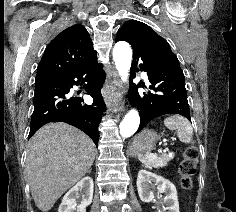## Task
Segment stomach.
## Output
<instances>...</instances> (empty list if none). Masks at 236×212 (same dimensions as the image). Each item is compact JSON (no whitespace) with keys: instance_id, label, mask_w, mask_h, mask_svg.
Returning a JSON list of instances; mask_svg holds the SVG:
<instances>
[{"instance_id":"stomach-1","label":"stomach","mask_w":236,"mask_h":212,"mask_svg":"<svg viewBox=\"0 0 236 212\" xmlns=\"http://www.w3.org/2000/svg\"><path fill=\"white\" fill-rule=\"evenodd\" d=\"M157 141V133L151 130H144L139 135H137L132 142V155H140L150 152L154 148Z\"/></svg>"}]
</instances>
